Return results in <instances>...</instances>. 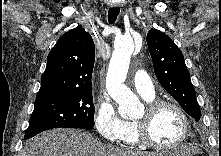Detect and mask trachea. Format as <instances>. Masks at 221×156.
Listing matches in <instances>:
<instances>
[{
    "label": "trachea",
    "instance_id": "3493384b",
    "mask_svg": "<svg viewBox=\"0 0 221 156\" xmlns=\"http://www.w3.org/2000/svg\"><path fill=\"white\" fill-rule=\"evenodd\" d=\"M120 12V8H110L108 11V21L110 24H114Z\"/></svg>",
    "mask_w": 221,
    "mask_h": 156
}]
</instances>
